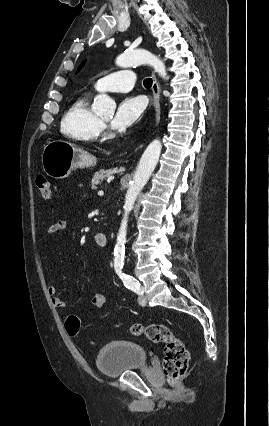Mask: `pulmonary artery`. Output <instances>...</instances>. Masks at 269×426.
Returning a JSON list of instances; mask_svg holds the SVG:
<instances>
[{"instance_id": "1", "label": "pulmonary artery", "mask_w": 269, "mask_h": 426, "mask_svg": "<svg viewBox=\"0 0 269 426\" xmlns=\"http://www.w3.org/2000/svg\"><path fill=\"white\" fill-rule=\"evenodd\" d=\"M136 78L134 70H120L100 78L95 84V89L99 92H128L133 88Z\"/></svg>"}]
</instances>
